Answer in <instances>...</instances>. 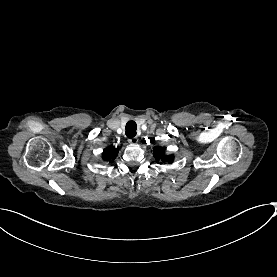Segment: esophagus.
<instances>
[{"mask_svg":"<svg viewBox=\"0 0 277 277\" xmlns=\"http://www.w3.org/2000/svg\"><path fill=\"white\" fill-rule=\"evenodd\" d=\"M128 143L135 145L138 143V138L137 137L129 138Z\"/></svg>","mask_w":277,"mask_h":277,"instance_id":"34e87169","label":"esophagus"}]
</instances>
